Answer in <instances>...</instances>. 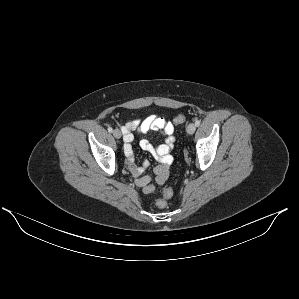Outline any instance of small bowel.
Masks as SVG:
<instances>
[{
	"mask_svg": "<svg viewBox=\"0 0 299 299\" xmlns=\"http://www.w3.org/2000/svg\"><path fill=\"white\" fill-rule=\"evenodd\" d=\"M122 131L127 166L135 179L136 185L141 187L145 194H151L155 190V184L163 185L169 177L170 167L173 163L171 151L175 143L174 125L162 117L150 115L144 119H134L127 122ZM149 131H157L164 138V143L158 146L151 144L146 139H142L139 143L141 149L150 153L159 163L153 170L154 177L143 175L144 171L149 167V162L144 161L141 166H137L132 149L134 134H146Z\"/></svg>",
	"mask_w": 299,
	"mask_h": 299,
	"instance_id": "small-bowel-1",
	"label": "small bowel"
}]
</instances>
